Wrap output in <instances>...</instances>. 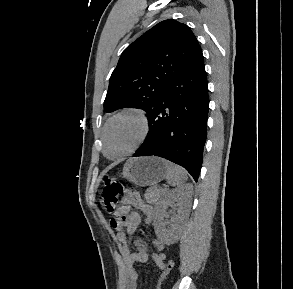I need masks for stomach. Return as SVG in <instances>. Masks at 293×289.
I'll return each instance as SVG.
<instances>
[{
	"label": "stomach",
	"instance_id": "0dacf381",
	"mask_svg": "<svg viewBox=\"0 0 293 289\" xmlns=\"http://www.w3.org/2000/svg\"><path fill=\"white\" fill-rule=\"evenodd\" d=\"M123 177L138 186L157 184L166 177L162 159L158 157H137L126 161Z\"/></svg>",
	"mask_w": 293,
	"mask_h": 289
}]
</instances>
